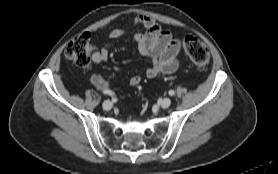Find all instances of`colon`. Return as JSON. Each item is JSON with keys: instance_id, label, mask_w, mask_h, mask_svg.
I'll use <instances>...</instances> for the list:
<instances>
[{"instance_id": "5ec220e1", "label": "colon", "mask_w": 278, "mask_h": 174, "mask_svg": "<svg viewBox=\"0 0 278 174\" xmlns=\"http://www.w3.org/2000/svg\"><path fill=\"white\" fill-rule=\"evenodd\" d=\"M182 46L193 65L200 70L209 63V51L207 47L196 37L187 35L182 39ZM94 47L88 34L83 33L74 37L65 49V55L81 68H88L91 63Z\"/></svg>"}]
</instances>
